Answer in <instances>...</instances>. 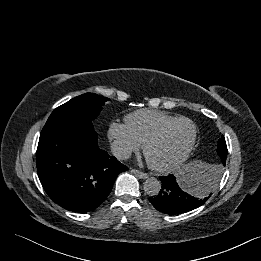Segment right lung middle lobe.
I'll use <instances>...</instances> for the list:
<instances>
[{
    "label": "right lung middle lobe",
    "mask_w": 261,
    "mask_h": 261,
    "mask_svg": "<svg viewBox=\"0 0 261 261\" xmlns=\"http://www.w3.org/2000/svg\"><path fill=\"white\" fill-rule=\"evenodd\" d=\"M106 101L109 99L94 93L77 96L57 107L51 113L43 130L64 123L91 121L99 115Z\"/></svg>",
    "instance_id": "obj_1"
}]
</instances>
